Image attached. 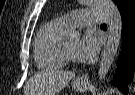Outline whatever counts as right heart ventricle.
<instances>
[{
    "label": "right heart ventricle",
    "instance_id": "e07e8e85",
    "mask_svg": "<svg viewBox=\"0 0 135 95\" xmlns=\"http://www.w3.org/2000/svg\"><path fill=\"white\" fill-rule=\"evenodd\" d=\"M67 29L61 18L50 20L40 28L34 43V58L39 68L56 69L66 64L63 35Z\"/></svg>",
    "mask_w": 135,
    "mask_h": 95
}]
</instances>
